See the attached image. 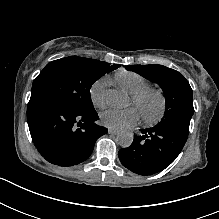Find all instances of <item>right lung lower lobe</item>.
I'll return each mask as SVG.
<instances>
[{"label":"right lung lower lobe","instance_id":"98d812e1","mask_svg":"<svg viewBox=\"0 0 219 219\" xmlns=\"http://www.w3.org/2000/svg\"><path fill=\"white\" fill-rule=\"evenodd\" d=\"M97 112L77 111L51 97H31L27 122L33 143L50 163L73 166L85 161L96 140L108 132L95 121Z\"/></svg>","mask_w":219,"mask_h":219}]
</instances>
